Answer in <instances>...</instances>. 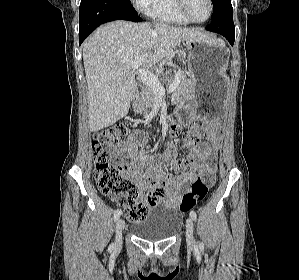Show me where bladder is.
<instances>
[{
    "instance_id": "bladder-1",
    "label": "bladder",
    "mask_w": 299,
    "mask_h": 280,
    "mask_svg": "<svg viewBox=\"0 0 299 280\" xmlns=\"http://www.w3.org/2000/svg\"><path fill=\"white\" fill-rule=\"evenodd\" d=\"M183 223L182 213L176 209H156L146 218L135 222L131 232L148 241L166 240L175 236Z\"/></svg>"
}]
</instances>
